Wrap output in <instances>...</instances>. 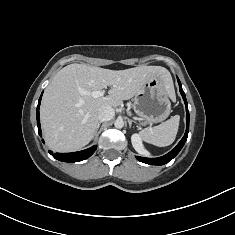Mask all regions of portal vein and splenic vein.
<instances>
[{"mask_svg": "<svg viewBox=\"0 0 235 235\" xmlns=\"http://www.w3.org/2000/svg\"><path fill=\"white\" fill-rule=\"evenodd\" d=\"M104 94H105V91H104V90H103V91H94V92H92V96H93L94 98L102 97V96H104Z\"/></svg>", "mask_w": 235, "mask_h": 235, "instance_id": "portal-vein-and-splenic-vein-1", "label": "portal vein and splenic vein"}]
</instances>
